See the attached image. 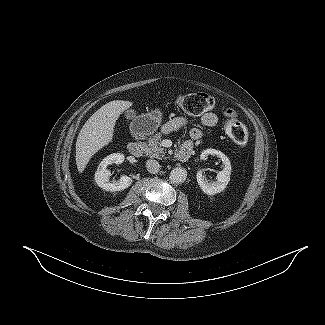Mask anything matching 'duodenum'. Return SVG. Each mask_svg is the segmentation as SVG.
<instances>
[{"label": "duodenum", "instance_id": "duodenum-1", "mask_svg": "<svg viewBox=\"0 0 325 325\" xmlns=\"http://www.w3.org/2000/svg\"><path fill=\"white\" fill-rule=\"evenodd\" d=\"M192 150H193L192 146L188 144H184L177 154V159L181 162L187 161L192 154ZM143 151H144V143L141 137H137L135 141L131 142L128 145V152L133 156H140L143 154Z\"/></svg>", "mask_w": 325, "mask_h": 325}]
</instances>
